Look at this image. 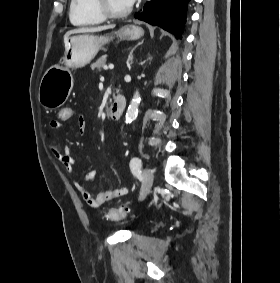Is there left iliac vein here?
Listing matches in <instances>:
<instances>
[{"label":"left iliac vein","instance_id":"left-iliac-vein-1","mask_svg":"<svg viewBox=\"0 0 280 283\" xmlns=\"http://www.w3.org/2000/svg\"><path fill=\"white\" fill-rule=\"evenodd\" d=\"M154 175L151 169L145 168L142 172V187L140 191L139 198L142 200L145 198L150 192L152 183H153Z\"/></svg>","mask_w":280,"mask_h":283}]
</instances>
